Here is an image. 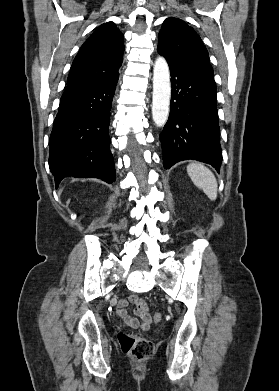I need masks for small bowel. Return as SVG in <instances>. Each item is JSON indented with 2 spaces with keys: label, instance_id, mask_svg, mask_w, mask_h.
Returning <instances> with one entry per match:
<instances>
[{
  "label": "small bowel",
  "instance_id": "1",
  "mask_svg": "<svg viewBox=\"0 0 279 391\" xmlns=\"http://www.w3.org/2000/svg\"><path fill=\"white\" fill-rule=\"evenodd\" d=\"M134 304L136 317L127 314L125 307ZM117 315L123 319L125 324L135 329L146 330L149 328L152 319L147 304L137 295H130L127 299L120 300L116 310Z\"/></svg>",
  "mask_w": 279,
  "mask_h": 391
}]
</instances>
